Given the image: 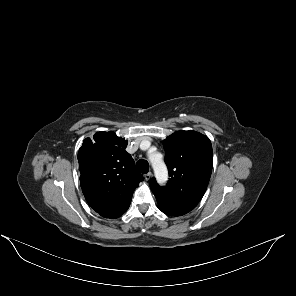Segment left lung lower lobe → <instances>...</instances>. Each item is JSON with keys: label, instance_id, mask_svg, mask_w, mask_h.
<instances>
[{"label": "left lung lower lobe", "instance_id": "0a47b994", "mask_svg": "<svg viewBox=\"0 0 296 296\" xmlns=\"http://www.w3.org/2000/svg\"><path fill=\"white\" fill-rule=\"evenodd\" d=\"M161 210V209H160ZM162 212H164L165 214L167 215H170V216H181V215H184L182 213H176V212H169V211H164V210H161Z\"/></svg>", "mask_w": 296, "mask_h": 296}]
</instances>
